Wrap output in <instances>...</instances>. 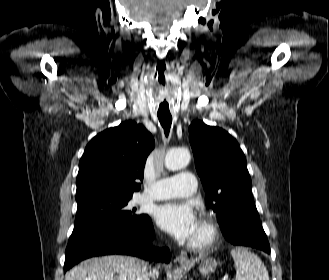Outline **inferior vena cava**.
Here are the masks:
<instances>
[{"label":"inferior vena cava","mask_w":329,"mask_h":280,"mask_svg":"<svg viewBox=\"0 0 329 280\" xmlns=\"http://www.w3.org/2000/svg\"><path fill=\"white\" fill-rule=\"evenodd\" d=\"M153 274H154V270H152L148 273L147 270L144 269V271L140 277V280H150L149 277L153 278Z\"/></svg>","instance_id":"inferior-vena-cava-1"}]
</instances>
